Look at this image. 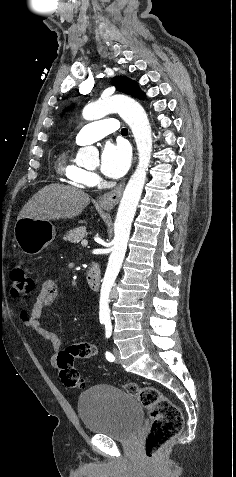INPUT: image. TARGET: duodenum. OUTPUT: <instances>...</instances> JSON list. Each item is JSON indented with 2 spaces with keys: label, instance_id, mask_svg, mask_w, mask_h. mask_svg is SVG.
<instances>
[{
  "label": "duodenum",
  "instance_id": "duodenum-1",
  "mask_svg": "<svg viewBox=\"0 0 236 477\" xmlns=\"http://www.w3.org/2000/svg\"><path fill=\"white\" fill-rule=\"evenodd\" d=\"M87 284L93 292L100 289L101 271L97 263H91L86 276Z\"/></svg>",
  "mask_w": 236,
  "mask_h": 477
}]
</instances>
